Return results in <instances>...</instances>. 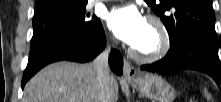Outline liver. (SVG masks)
Masks as SVG:
<instances>
[{"label":"liver","instance_id":"1","mask_svg":"<svg viewBox=\"0 0 221 102\" xmlns=\"http://www.w3.org/2000/svg\"><path fill=\"white\" fill-rule=\"evenodd\" d=\"M118 83L110 75L107 102L118 99ZM97 74L92 64L61 61L39 71L25 86L23 102H96Z\"/></svg>","mask_w":221,"mask_h":102}]
</instances>
